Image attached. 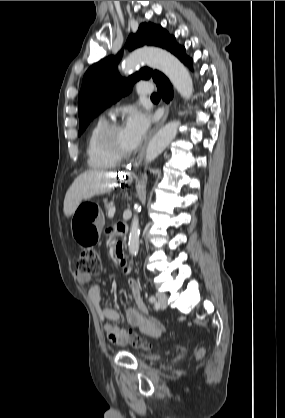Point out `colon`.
I'll use <instances>...</instances> for the list:
<instances>
[{
  "mask_svg": "<svg viewBox=\"0 0 285 418\" xmlns=\"http://www.w3.org/2000/svg\"><path fill=\"white\" fill-rule=\"evenodd\" d=\"M115 253L119 260H123L124 251L121 242L117 243ZM99 269L100 264L97 252L92 249H83L80 253V257L77 263L78 274L92 275L96 274L99 271ZM128 342L131 345L144 350H150L152 348V346L149 343L143 341L139 335L133 332H130L128 334ZM204 354V348L199 347L195 352L196 359H201L204 356Z\"/></svg>",
  "mask_w": 285,
  "mask_h": 418,
  "instance_id": "5ec220e1",
  "label": "colon"
}]
</instances>
